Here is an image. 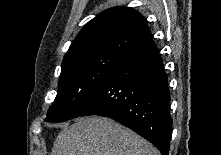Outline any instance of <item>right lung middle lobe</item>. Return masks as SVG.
<instances>
[{"label": "right lung middle lobe", "instance_id": "obj_1", "mask_svg": "<svg viewBox=\"0 0 221 155\" xmlns=\"http://www.w3.org/2000/svg\"><path fill=\"white\" fill-rule=\"evenodd\" d=\"M124 55L102 53L73 61L62 69L57 96L45 121L63 122L80 116Z\"/></svg>", "mask_w": 221, "mask_h": 155}]
</instances>
